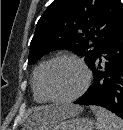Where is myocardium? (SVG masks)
I'll return each instance as SVG.
<instances>
[{"label": "myocardium", "instance_id": "myocardium-1", "mask_svg": "<svg viewBox=\"0 0 123 130\" xmlns=\"http://www.w3.org/2000/svg\"><path fill=\"white\" fill-rule=\"evenodd\" d=\"M60 60L74 61L82 68V70L85 74V79H84L83 85L81 86L79 91L77 93H75L73 96H70L68 98H58V97L53 96L47 87L48 72H49L50 68L52 67V65H54L57 61H60ZM91 80H92V73H91L89 67L86 65V63L81 58H79L78 56H76L74 54L62 53V54H58V55L54 56L45 64V66L42 70V73H41V77H40V87H41V91H42L44 97L48 101L58 103V104H66V103L74 102L75 100L80 98L88 89V87L91 83Z\"/></svg>", "mask_w": 123, "mask_h": 130}]
</instances>
